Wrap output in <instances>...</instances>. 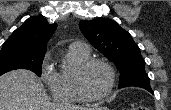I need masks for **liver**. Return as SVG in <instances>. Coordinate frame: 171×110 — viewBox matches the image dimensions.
I'll return each mask as SVG.
<instances>
[{
  "label": "liver",
  "mask_w": 171,
  "mask_h": 110,
  "mask_svg": "<svg viewBox=\"0 0 171 110\" xmlns=\"http://www.w3.org/2000/svg\"><path fill=\"white\" fill-rule=\"evenodd\" d=\"M0 110H89L69 104H52L43 84L30 70H13L0 76Z\"/></svg>",
  "instance_id": "obj_1"
}]
</instances>
